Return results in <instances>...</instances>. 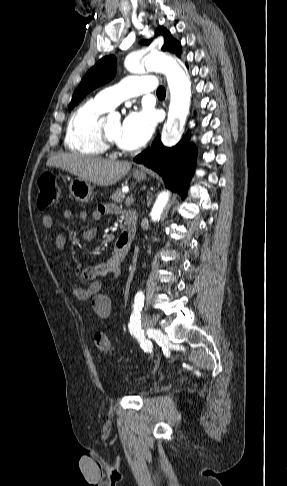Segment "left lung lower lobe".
<instances>
[{"label": "left lung lower lobe", "mask_w": 287, "mask_h": 486, "mask_svg": "<svg viewBox=\"0 0 287 486\" xmlns=\"http://www.w3.org/2000/svg\"><path fill=\"white\" fill-rule=\"evenodd\" d=\"M189 139L190 135L187 133L176 146L167 148L156 138L151 147L136 156L134 161L159 173L168 188L185 197L197 155Z\"/></svg>", "instance_id": "0a47b994"}]
</instances>
